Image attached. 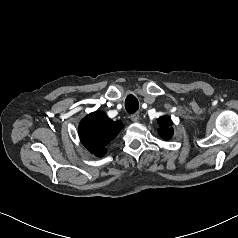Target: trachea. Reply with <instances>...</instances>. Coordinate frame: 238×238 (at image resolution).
Wrapping results in <instances>:
<instances>
[{"mask_svg":"<svg viewBox=\"0 0 238 238\" xmlns=\"http://www.w3.org/2000/svg\"><path fill=\"white\" fill-rule=\"evenodd\" d=\"M125 108L128 113H135L139 109V103L135 96L129 95L126 97Z\"/></svg>","mask_w":238,"mask_h":238,"instance_id":"1","label":"trachea"}]
</instances>
